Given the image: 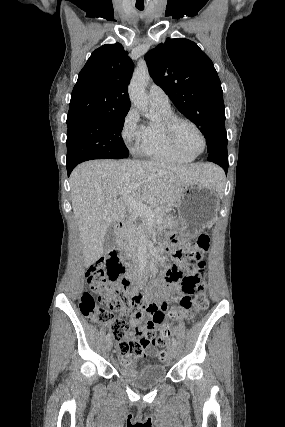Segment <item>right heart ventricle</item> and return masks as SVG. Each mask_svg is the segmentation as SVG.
<instances>
[{
	"label": "right heart ventricle",
	"mask_w": 285,
	"mask_h": 427,
	"mask_svg": "<svg viewBox=\"0 0 285 427\" xmlns=\"http://www.w3.org/2000/svg\"><path fill=\"white\" fill-rule=\"evenodd\" d=\"M159 114L158 121H149L143 125V135L137 152L153 160L171 163H188L192 158L177 152L163 133L160 121L162 118L173 116L170 106L154 105Z\"/></svg>",
	"instance_id": "e07e8e85"
}]
</instances>
